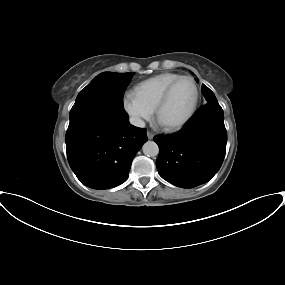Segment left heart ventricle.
Listing matches in <instances>:
<instances>
[{"label":"left heart ventricle","mask_w":285,"mask_h":285,"mask_svg":"<svg viewBox=\"0 0 285 285\" xmlns=\"http://www.w3.org/2000/svg\"><path fill=\"white\" fill-rule=\"evenodd\" d=\"M194 99L195 88L193 83L189 79L179 81L160 112V124L170 125L182 120L191 110Z\"/></svg>","instance_id":"1"}]
</instances>
